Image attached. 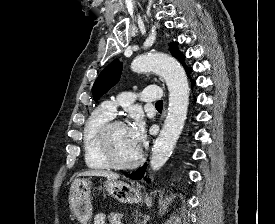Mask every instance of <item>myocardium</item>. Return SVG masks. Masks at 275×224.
<instances>
[{
  "label": "myocardium",
  "instance_id": "myocardium-1",
  "mask_svg": "<svg viewBox=\"0 0 275 224\" xmlns=\"http://www.w3.org/2000/svg\"><path fill=\"white\" fill-rule=\"evenodd\" d=\"M117 125L125 126V123L119 119L111 118L101 126L97 134V145L99 151L110 167L116 169L134 168L141 163L143 159V152L139 149L137 156L128 162H121L116 159L111 146L110 133L112 128Z\"/></svg>",
  "mask_w": 275,
  "mask_h": 224
}]
</instances>
